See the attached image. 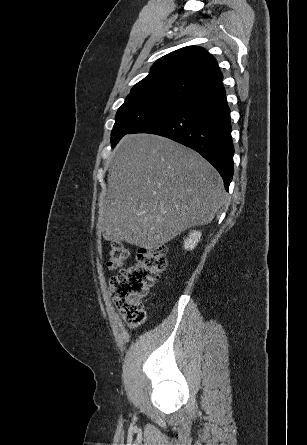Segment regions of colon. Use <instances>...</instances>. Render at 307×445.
<instances>
[{
  "label": "colon",
  "instance_id": "5ec220e1",
  "mask_svg": "<svg viewBox=\"0 0 307 445\" xmlns=\"http://www.w3.org/2000/svg\"><path fill=\"white\" fill-rule=\"evenodd\" d=\"M128 256L129 250L123 243L112 244L107 266L119 272L111 278L109 292L125 320L138 324L145 319L144 299L164 271L166 255L163 247L142 249L135 262L123 268Z\"/></svg>",
  "mask_w": 307,
  "mask_h": 445
}]
</instances>
